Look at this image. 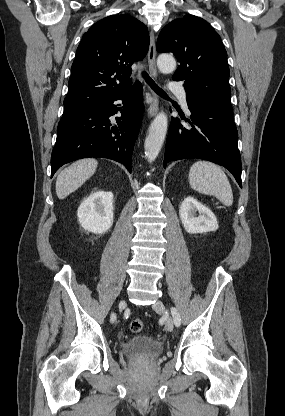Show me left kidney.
<instances>
[{
    "mask_svg": "<svg viewBox=\"0 0 285 416\" xmlns=\"http://www.w3.org/2000/svg\"><path fill=\"white\" fill-rule=\"evenodd\" d=\"M196 212L200 214L198 218H195ZM179 216L183 228H185L188 234H205V232H215L219 228L213 212L207 206H203V204L194 200V198H185L183 200Z\"/></svg>",
    "mask_w": 285,
    "mask_h": 416,
    "instance_id": "1",
    "label": "left kidney"
}]
</instances>
